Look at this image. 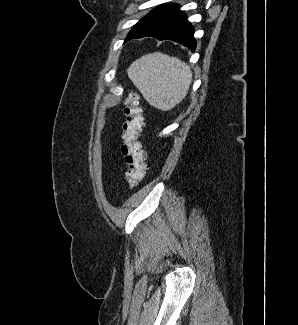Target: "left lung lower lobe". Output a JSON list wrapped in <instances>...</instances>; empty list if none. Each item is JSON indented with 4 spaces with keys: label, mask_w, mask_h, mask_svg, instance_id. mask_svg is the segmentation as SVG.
<instances>
[{
    "label": "left lung lower lobe",
    "mask_w": 298,
    "mask_h": 325,
    "mask_svg": "<svg viewBox=\"0 0 298 325\" xmlns=\"http://www.w3.org/2000/svg\"><path fill=\"white\" fill-rule=\"evenodd\" d=\"M179 8L178 4L173 3L156 7L132 28L125 42L133 38L149 36L159 40H173L194 51L196 41L193 38V26Z\"/></svg>",
    "instance_id": "0a47b994"
}]
</instances>
